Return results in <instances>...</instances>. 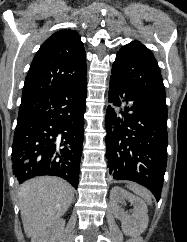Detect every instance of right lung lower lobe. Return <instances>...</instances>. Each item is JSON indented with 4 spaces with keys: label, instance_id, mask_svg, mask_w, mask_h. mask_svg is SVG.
<instances>
[{
    "label": "right lung lower lobe",
    "instance_id": "obj_1",
    "mask_svg": "<svg viewBox=\"0 0 187 242\" xmlns=\"http://www.w3.org/2000/svg\"><path fill=\"white\" fill-rule=\"evenodd\" d=\"M86 93L84 78L21 101L12 145L13 174L19 183L54 175L78 187Z\"/></svg>",
    "mask_w": 187,
    "mask_h": 242
}]
</instances>
